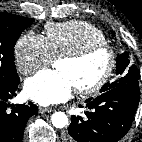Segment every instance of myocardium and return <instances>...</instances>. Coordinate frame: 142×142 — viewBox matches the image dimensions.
I'll return each mask as SVG.
<instances>
[{
    "label": "myocardium",
    "instance_id": "myocardium-1",
    "mask_svg": "<svg viewBox=\"0 0 142 142\" xmlns=\"http://www.w3.org/2000/svg\"><path fill=\"white\" fill-rule=\"evenodd\" d=\"M99 52H104L107 55L108 58L107 67L104 73L102 74V76L94 83L88 86L76 87L75 91L78 94L92 95L99 92L107 85V83L110 81L111 77L113 76L116 67L117 63L116 51L113 49V47H111L106 43H98V44L88 45L78 51L67 53L59 57V60H66L78 63Z\"/></svg>",
    "mask_w": 142,
    "mask_h": 142
}]
</instances>
